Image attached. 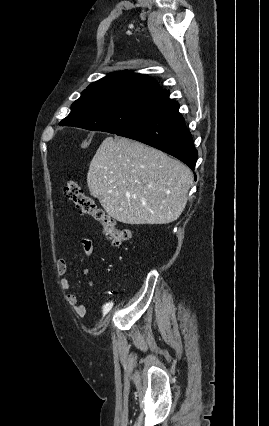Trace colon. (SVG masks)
Returning a JSON list of instances; mask_svg holds the SVG:
<instances>
[{"mask_svg":"<svg viewBox=\"0 0 269 426\" xmlns=\"http://www.w3.org/2000/svg\"><path fill=\"white\" fill-rule=\"evenodd\" d=\"M66 199L79 209L80 213L92 218L100 224L103 234L113 244L120 245L130 238L127 229L120 228L96 203L95 199L86 195L75 181H69L64 188Z\"/></svg>","mask_w":269,"mask_h":426,"instance_id":"1","label":"colon"}]
</instances>
